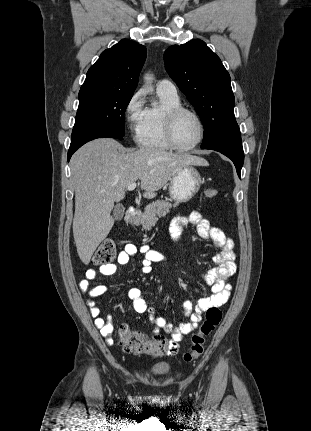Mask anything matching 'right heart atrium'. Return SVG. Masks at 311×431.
I'll use <instances>...</instances> for the list:
<instances>
[{
	"label": "right heart atrium",
	"mask_w": 311,
	"mask_h": 431,
	"mask_svg": "<svg viewBox=\"0 0 311 431\" xmlns=\"http://www.w3.org/2000/svg\"><path fill=\"white\" fill-rule=\"evenodd\" d=\"M144 103V94L142 90H138L128 98L124 106L125 124L134 138H136L138 127L144 115Z\"/></svg>",
	"instance_id": "right-heart-atrium-1"
}]
</instances>
